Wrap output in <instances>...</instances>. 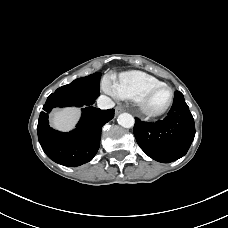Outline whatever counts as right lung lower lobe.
I'll return each mask as SVG.
<instances>
[{
	"label": "right lung lower lobe",
	"mask_w": 228,
	"mask_h": 228,
	"mask_svg": "<svg viewBox=\"0 0 228 228\" xmlns=\"http://www.w3.org/2000/svg\"><path fill=\"white\" fill-rule=\"evenodd\" d=\"M75 98L51 94L38 120V139L43 151L54 162L75 167L92 160L100 146L101 130L114 117V109L100 110ZM84 106L76 128L69 133L53 130L48 113L54 107Z\"/></svg>",
	"instance_id": "right-lung-lower-lobe-1"
}]
</instances>
